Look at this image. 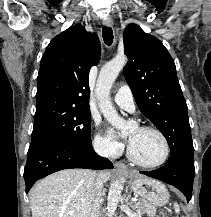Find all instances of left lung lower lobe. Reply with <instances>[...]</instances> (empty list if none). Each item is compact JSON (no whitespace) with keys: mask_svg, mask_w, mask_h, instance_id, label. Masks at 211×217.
<instances>
[{"mask_svg":"<svg viewBox=\"0 0 211 217\" xmlns=\"http://www.w3.org/2000/svg\"><path fill=\"white\" fill-rule=\"evenodd\" d=\"M140 173L175 186L185 195L187 201H190L195 174L194 156L170 155L163 167L150 172L140 171Z\"/></svg>","mask_w":211,"mask_h":217,"instance_id":"left-lung-lower-lobe-1","label":"left lung lower lobe"}]
</instances>
